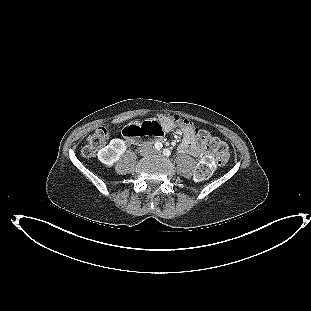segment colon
Listing matches in <instances>:
<instances>
[{
  "label": "colon",
  "instance_id": "obj_1",
  "mask_svg": "<svg viewBox=\"0 0 311 311\" xmlns=\"http://www.w3.org/2000/svg\"><path fill=\"white\" fill-rule=\"evenodd\" d=\"M181 128L190 126L191 123L187 120L181 121L178 118H173ZM129 132H140L141 135L162 136L163 131L158 125L152 128L133 127ZM195 135L205 150V156L199 161L195 169V179L202 181L208 178L216 165L223 166L228 162L229 151L224 142L217 137L211 135L205 130L195 129ZM109 137V131L102 126L96 129L88 138L86 144L81 149L82 156L90 158L96 155L98 150L105 145Z\"/></svg>",
  "mask_w": 311,
  "mask_h": 311
}]
</instances>
